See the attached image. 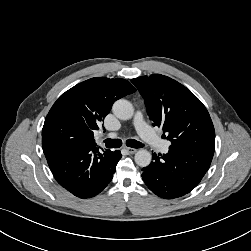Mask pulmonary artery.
<instances>
[{"mask_svg":"<svg viewBox=\"0 0 251 251\" xmlns=\"http://www.w3.org/2000/svg\"><path fill=\"white\" fill-rule=\"evenodd\" d=\"M134 125L142 137V139L152 146L153 148L157 149L161 153H168L170 143L168 141L162 140L157 134L147 125L144 121L141 113H136L134 117ZM115 134H110V136H114Z\"/></svg>","mask_w":251,"mask_h":251,"instance_id":"pulmonary-artery-1","label":"pulmonary artery"}]
</instances>
